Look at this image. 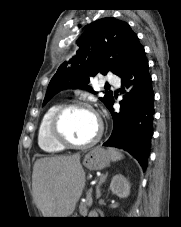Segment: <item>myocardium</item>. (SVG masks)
<instances>
[{"label":"myocardium","instance_id":"myocardium-1","mask_svg":"<svg viewBox=\"0 0 181 227\" xmlns=\"http://www.w3.org/2000/svg\"><path fill=\"white\" fill-rule=\"evenodd\" d=\"M76 108H81V109L90 111L96 117L98 122L97 133L92 139H90L87 142H83V143L73 142L64 135L61 129V121L64 115L68 111ZM50 134L57 143L61 144L64 147L86 149L94 146L101 139L103 134V124L98 114L90 104L82 101H73V102L61 105L54 113L50 122Z\"/></svg>","mask_w":181,"mask_h":227}]
</instances>
